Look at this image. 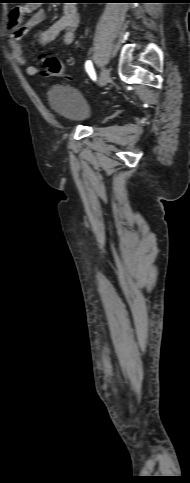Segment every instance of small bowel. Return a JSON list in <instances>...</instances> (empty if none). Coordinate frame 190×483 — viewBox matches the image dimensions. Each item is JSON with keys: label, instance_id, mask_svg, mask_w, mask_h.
<instances>
[{"label": "small bowel", "instance_id": "small-bowel-1", "mask_svg": "<svg viewBox=\"0 0 190 483\" xmlns=\"http://www.w3.org/2000/svg\"><path fill=\"white\" fill-rule=\"evenodd\" d=\"M26 17L27 20L24 21ZM45 18V10L34 5L17 6L8 15V44L11 49V58L17 65L25 68L28 76H35L37 68L27 63L20 40ZM79 22L80 16L77 7L69 2L64 5L60 18L40 32L38 40L41 44H49L61 36L62 43L70 45L75 39Z\"/></svg>", "mask_w": 190, "mask_h": 483}]
</instances>
